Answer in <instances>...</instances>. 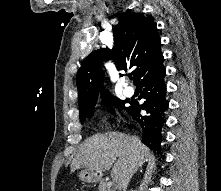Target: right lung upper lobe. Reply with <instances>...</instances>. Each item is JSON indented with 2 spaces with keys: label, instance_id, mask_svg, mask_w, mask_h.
Instances as JSON below:
<instances>
[{
  "label": "right lung upper lobe",
  "instance_id": "cb5924a9",
  "mask_svg": "<svg viewBox=\"0 0 221 191\" xmlns=\"http://www.w3.org/2000/svg\"><path fill=\"white\" fill-rule=\"evenodd\" d=\"M113 36L112 50H95L81 63L76 78L80 113L95 107L99 92L103 101L112 98L111 94L104 92L102 88V60L112 59L118 70L133 68L132 74L136 82L162 56L161 41L152 17H145L141 13L123 14L113 29Z\"/></svg>",
  "mask_w": 221,
  "mask_h": 191
}]
</instances>
